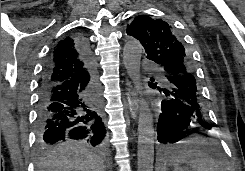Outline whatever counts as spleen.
<instances>
[{"label":"spleen","mask_w":245,"mask_h":171,"mask_svg":"<svg viewBox=\"0 0 245 171\" xmlns=\"http://www.w3.org/2000/svg\"><path fill=\"white\" fill-rule=\"evenodd\" d=\"M176 163L188 162L193 171H220L217 162L201 150H189L175 158ZM174 171H183L177 167Z\"/></svg>","instance_id":"3e777b00"}]
</instances>
